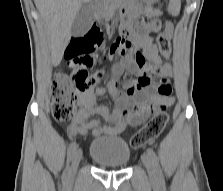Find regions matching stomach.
Returning <instances> with one entry per match:
<instances>
[{
  "label": "stomach",
  "mask_w": 223,
  "mask_h": 191,
  "mask_svg": "<svg viewBox=\"0 0 223 191\" xmlns=\"http://www.w3.org/2000/svg\"><path fill=\"white\" fill-rule=\"evenodd\" d=\"M156 1H158V0H152V2H156Z\"/></svg>",
  "instance_id": "0dacf381"
}]
</instances>
